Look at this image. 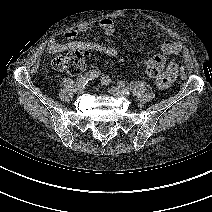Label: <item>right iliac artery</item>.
<instances>
[{
  "label": "right iliac artery",
  "mask_w": 212,
  "mask_h": 212,
  "mask_svg": "<svg viewBox=\"0 0 212 212\" xmlns=\"http://www.w3.org/2000/svg\"><path fill=\"white\" fill-rule=\"evenodd\" d=\"M101 72L100 70H91L88 73H86L82 78L78 80L77 87L82 88L87 85V83L95 78H98L100 76Z\"/></svg>",
  "instance_id": "1"
}]
</instances>
